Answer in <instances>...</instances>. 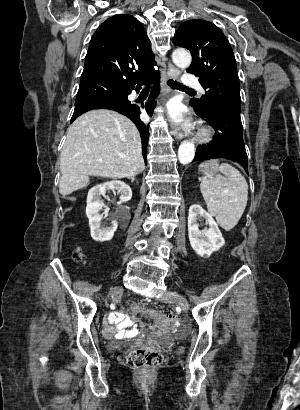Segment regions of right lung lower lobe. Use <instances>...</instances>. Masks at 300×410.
Listing matches in <instances>:
<instances>
[{"instance_id": "right-lung-lower-lobe-1", "label": "right lung lower lobe", "mask_w": 300, "mask_h": 410, "mask_svg": "<svg viewBox=\"0 0 300 410\" xmlns=\"http://www.w3.org/2000/svg\"><path fill=\"white\" fill-rule=\"evenodd\" d=\"M159 79L158 77H154L145 83H149V82H154L157 81ZM142 84V85H143ZM141 85L136 86L135 90L138 91L140 90ZM134 89V88H133ZM129 90L128 91V95L131 93V91L133 90ZM159 90V87H155L152 91V94L150 95V99L148 102H146L145 104H142V107H145L146 112L148 115H152V109L154 108V101L153 98L155 95H157ZM93 109H110V110H114L117 111L125 116H127L129 119H131L134 124L136 125V127L138 128L139 132H140V136L142 139V152H143V157L145 159L146 162V149H147V144H148V138H149V126L144 124L141 119H140V108L137 105L131 104L130 101L128 102H120V101H116V100H111V99H97V100H92V101H88L82 104H78L75 105V109H74V113L73 116L71 118V122L74 121L78 116H80L81 114L89 111V110H93Z\"/></svg>"}]
</instances>
